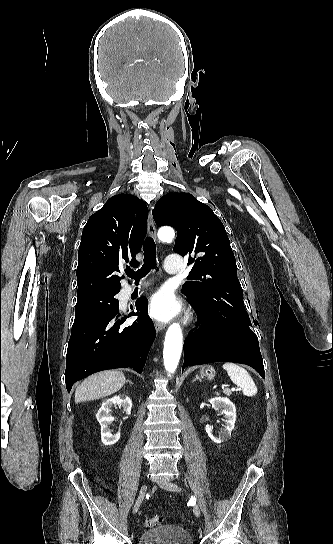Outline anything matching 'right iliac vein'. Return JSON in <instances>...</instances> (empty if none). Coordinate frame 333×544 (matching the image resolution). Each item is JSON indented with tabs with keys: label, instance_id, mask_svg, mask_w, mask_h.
I'll return each instance as SVG.
<instances>
[{
	"label": "right iliac vein",
	"instance_id": "right-iliac-vein-1",
	"mask_svg": "<svg viewBox=\"0 0 333 544\" xmlns=\"http://www.w3.org/2000/svg\"><path fill=\"white\" fill-rule=\"evenodd\" d=\"M146 492H147V486L143 485L141 487L140 491H139L138 498L135 501V504H134V507H133V513L134 514L138 511V509H139V507H140V505H141V503H142V501H143V499L145 497Z\"/></svg>",
	"mask_w": 333,
	"mask_h": 544
}]
</instances>
